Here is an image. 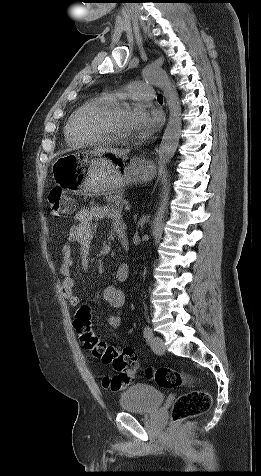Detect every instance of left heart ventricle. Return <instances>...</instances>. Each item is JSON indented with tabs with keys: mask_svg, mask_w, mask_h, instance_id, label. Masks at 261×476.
Listing matches in <instances>:
<instances>
[{
	"mask_svg": "<svg viewBox=\"0 0 261 476\" xmlns=\"http://www.w3.org/2000/svg\"><path fill=\"white\" fill-rule=\"evenodd\" d=\"M130 109H125L111 115L107 121L108 126L118 135L130 136L131 130L128 121V113Z\"/></svg>",
	"mask_w": 261,
	"mask_h": 476,
	"instance_id": "b2bd125f",
	"label": "left heart ventricle"
}]
</instances>
